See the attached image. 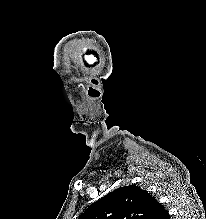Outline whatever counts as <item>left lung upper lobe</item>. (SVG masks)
<instances>
[{
	"instance_id": "1",
	"label": "left lung upper lobe",
	"mask_w": 206,
	"mask_h": 219,
	"mask_svg": "<svg viewBox=\"0 0 206 219\" xmlns=\"http://www.w3.org/2000/svg\"><path fill=\"white\" fill-rule=\"evenodd\" d=\"M154 200L136 185L124 186L91 204L78 219H149Z\"/></svg>"
}]
</instances>
